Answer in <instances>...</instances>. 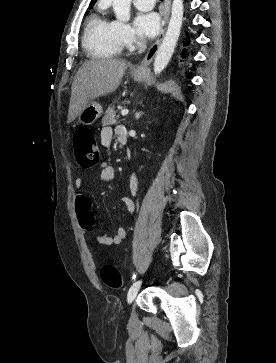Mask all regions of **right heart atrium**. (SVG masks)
Listing matches in <instances>:
<instances>
[{"instance_id":"right-heart-atrium-1","label":"right heart atrium","mask_w":276,"mask_h":363,"mask_svg":"<svg viewBox=\"0 0 276 363\" xmlns=\"http://www.w3.org/2000/svg\"><path fill=\"white\" fill-rule=\"evenodd\" d=\"M115 26L118 35L124 45H131L135 41V34L130 25L120 21H116Z\"/></svg>"}]
</instances>
